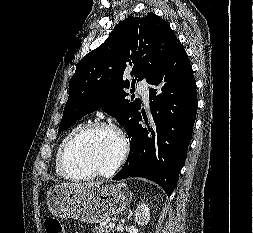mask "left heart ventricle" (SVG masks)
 Listing matches in <instances>:
<instances>
[{
    "label": "left heart ventricle",
    "mask_w": 253,
    "mask_h": 233,
    "mask_svg": "<svg viewBox=\"0 0 253 233\" xmlns=\"http://www.w3.org/2000/svg\"><path fill=\"white\" fill-rule=\"evenodd\" d=\"M120 151L121 144L116 134L104 129L91 131L72 146L67 167L73 175L108 170L116 162Z\"/></svg>",
    "instance_id": "1"
}]
</instances>
